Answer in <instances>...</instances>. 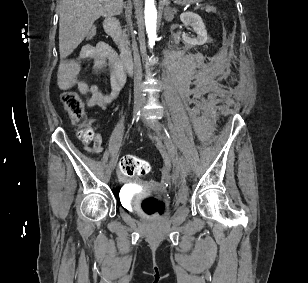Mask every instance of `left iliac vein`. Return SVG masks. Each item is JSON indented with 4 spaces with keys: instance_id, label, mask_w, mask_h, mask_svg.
Segmentation results:
<instances>
[{
    "instance_id": "1",
    "label": "left iliac vein",
    "mask_w": 308,
    "mask_h": 283,
    "mask_svg": "<svg viewBox=\"0 0 308 283\" xmlns=\"http://www.w3.org/2000/svg\"><path fill=\"white\" fill-rule=\"evenodd\" d=\"M144 102H145V98L142 97V103H144ZM148 125L154 130V132L157 135L158 140H163L164 143H166V144L170 143V141L166 137L164 127L159 121L149 122ZM178 167H179L180 171L184 174H187L190 171V167H189L188 163L182 157L179 159Z\"/></svg>"
}]
</instances>
